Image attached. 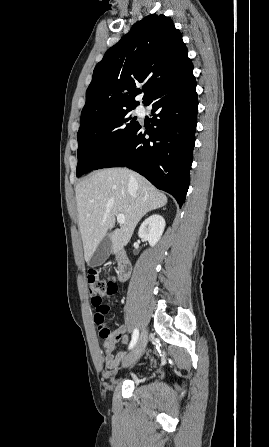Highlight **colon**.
I'll return each mask as SVG.
<instances>
[{
    "label": "colon",
    "instance_id": "colon-1",
    "mask_svg": "<svg viewBox=\"0 0 269 447\" xmlns=\"http://www.w3.org/2000/svg\"><path fill=\"white\" fill-rule=\"evenodd\" d=\"M100 267L98 270H90L86 274L89 294L93 306L97 307V314H95V321L99 324V336L104 339H114L115 331L110 330V324L105 321V314L109 312V307L101 304L99 296H107L115 291L116 278L107 273L103 275Z\"/></svg>",
    "mask_w": 269,
    "mask_h": 447
}]
</instances>
